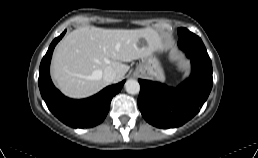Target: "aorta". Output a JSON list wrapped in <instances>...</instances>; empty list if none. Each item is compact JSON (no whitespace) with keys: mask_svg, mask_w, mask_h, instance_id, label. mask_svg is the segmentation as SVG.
Instances as JSON below:
<instances>
[{"mask_svg":"<svg viewBox=\"0 0 258 158\" xmlns=\"http://www.w3.org/2000/svg\"><path fill=\"white\" fill-rule=\"evenodd\" d=\"M125 90L127 93L135 95L138 94L140 91V85L138 81L134 79H129L125 83Z\"/></svg>","mask_w":258,"mask_h":158,"instance_id":"obj_1","label":"aorta"}]
</instances>
